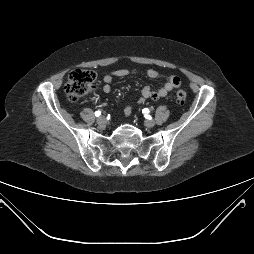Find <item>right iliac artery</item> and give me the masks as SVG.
I'll return each mask as SVG.
<instances>
[{
    "instance_id": "right-iliac-artery-1",
    "label": "right iliac artery",
    "mask_w": 254,
    "mask_h": 254,
    "mask_svg": "<svg viewBox=\"0 0 254 254\" xmlns=\"http://www.w3.org/2000/svg\"><path fill=\"white\" fill-rule=\"evenodd\" d=\"M100 115H101V111H96V112H95V116L98 117V116H100Z\"/></svg>"
}]
</instances>
